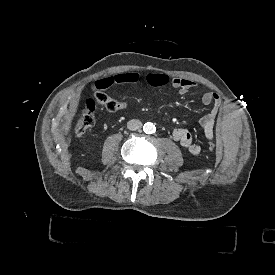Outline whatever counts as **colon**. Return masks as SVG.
Wrapping results in <instances>:
<instances>
[{
    "mask_svg": "<svg viewBox=\"0 0 275 275\" xmlns=\"http://www.w3.org/2000/svg\"><path fill=\"white\" fill-rule=\"evenodd\" d=\"M94 94L98 95L100 99L103 100L102 108L104 109H107L109 111H118L125 107V104L123 102L115 100L101 91H95ZM96 111V102L92 101L91 97L86 101L83 107L82 116L75 124L74 131L78 135L86 133L92 127L95 121ZM206 148L210 153H215L217 151V146L212 142L207 143Z\"/></svg>",
    "mask_w": 275,
    "mask_h": 275,
    "instance_id": "obj_1",
    "label": "colon"
}]
</instances>
